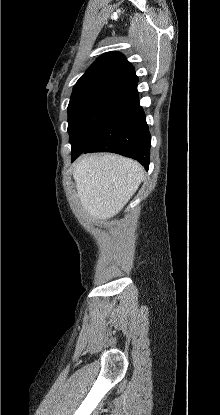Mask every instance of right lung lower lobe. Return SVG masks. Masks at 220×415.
<instances>
[{"label":"right lung lower lobe","instance_id":"obj_1","mask_svg":"<svg viewBox=\"0 0 220 415\" xmlns=\"http://www.w3.org/2000/svg\"><path fill=\"white\" fill-rule=\"evenodd\" d=\"M151 136L138 94L117 109L93 140L82 149H72L74 161L82 152H113L149 167Z\"/></svg>","mask_w":220,"mask_h":415}]
</instances>
